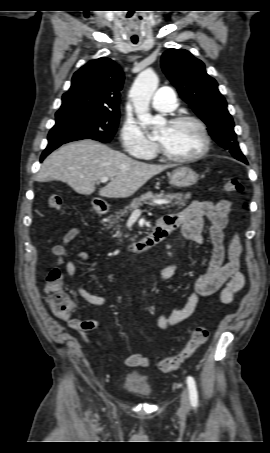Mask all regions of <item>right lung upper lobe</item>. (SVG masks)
<instances>
[{"mask_svg":"<svg viewBox=\"0 0 270 453\" xmlns=\"http://www.w3.org/2000/svg\"><path fill=\"white\" fill-rule=\"evenodd\" d=\"M123 81L124 74L113 60L102 57L89 61L74 74L56 117L78 112L119 114Z\"/></svg>","mask_w":270,"mask_h":453,"instance_id":"right-lung-upper-lobe-1","label":"right lung upper lobe"}]
</instances>
